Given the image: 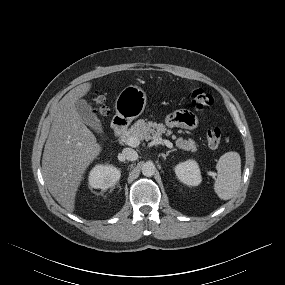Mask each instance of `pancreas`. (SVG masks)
<instances>
[{
  "label": "pancreas",
  "mask_w": 285,
  "mask_h": 285,
  "mask_svg": "<svg viewBox=\"0 0 285 285\" xmlns=\"http://www.w3.org/2000/svg\"><path fill=\"white\" fill-rule=\"evenodd\" d=\"M172 131L167 129L164 124H157L155 122H146L143 119L136 121L127 131L122 134V138L126 141L129 137H138L140 140H157L161 138L162 134L171 135ZM178 148L186 151H197V145L194 140H185L182 137L176 140Z\"/></svg>",
  "instance_id": "cf45deb5"
}]
</instances>
